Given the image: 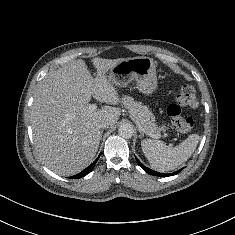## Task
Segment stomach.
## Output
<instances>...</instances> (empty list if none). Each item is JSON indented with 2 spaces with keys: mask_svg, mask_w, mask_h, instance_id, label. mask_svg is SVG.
I'll return each instance as SVG.
<instances>
[{
  "mask_svg": "<svg viewBox=\"0 0 235 235\" xmlns=\"http://www.w3.org/2000/svg\"><path fill=\"white\" fill-rule=\"evenodd\" d=\"M109 77L118 87H126L135 80L139 91L147 95L152 94L157 88L156 65L149 57L121 59L111 68Z\"/></svg>",
  "mask_w": 235,
  "mask_h": 235,
  "instance_id": "obj_1",
  "label": "stomach"
}]
</instances>
